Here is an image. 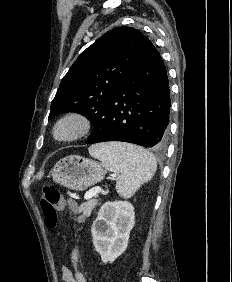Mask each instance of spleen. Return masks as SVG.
<instances>
[{
  "instance_id": "obj_1",
  "label": "spleen",
  "mask_w": 232,
  "mask_h": 282,
  "mask_svg": "<svg viewBox=\"0 0 232 282\" xmlns=\"http://www.w3.org/2000/svg\"><path fill=\"white\" fill-rule=\"evenodd\" d=\"M89 153L101 160L107 170L121 173L116 190L126 199L149 181L157 170L155 156L139 146L119 142L105 143L92 146Z\"/></svg>"
}]
</instances>
